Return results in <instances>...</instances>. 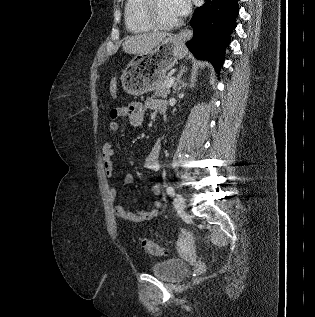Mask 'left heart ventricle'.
Returning a JSON list of instances; mask_svg holds the SVG:
<instances>
[{
  "label": "left heart ventricle",
  "instance_id": "1",
  "mask_svg": "<svg viewBox=\"0 0 315 317\" xmlns=\"http://www.w3.org/2000/svg\"><path fill=\"white\" fill-rule=\"evenodd\" d=\"M155 12L157 19L161 23H171L179 19L170 0H157Z\"/></svg>",
  "mask_w": 315,
  "mask_h": 317
}]
</instances>
